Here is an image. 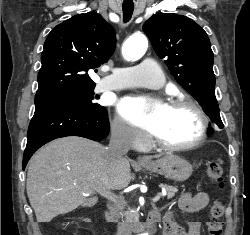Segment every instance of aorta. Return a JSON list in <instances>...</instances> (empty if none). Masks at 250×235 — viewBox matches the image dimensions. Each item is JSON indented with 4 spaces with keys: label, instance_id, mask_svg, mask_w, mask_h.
<instances>
[{
    "label": "aorta",
    "instance_id": "obj_1",
    "mask_svg": "<svg viewBox=\"0 0 250 235\" xmlns=\"http://www.w3.org/2000/svg\"><path fill=\"white\" fill-rule=\"evenodd\" d=\"M147 48V39L145 37L134 35L124 43L122 53L126 59L132 60L143 56ZM141 235H148V233H142Z\"/></svg>",
    "mask_w": 250,
    "mask_h": 235
}]
</instances>
